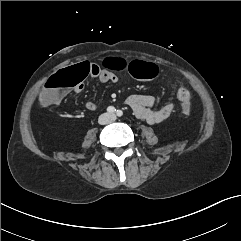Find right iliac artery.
Here are the masks:
<instances>
[{
  "instance_id": "obj_1",
  "label": "right iliac artery",
  "mask_w": 241,
  "mask_h": 241,
  "mask_svg": "<svg viewBox=\"0 0 241 241\" xmlns=\"http://www.w3.org/2000/svg\"><path fill=\"white\" fill-rule=\"evenodd\" d=\"M107 111H108L109 113H115V112H116V109H115V107H113V106H109V107L107 108Z\"/></svg>"
}]
</instances>
